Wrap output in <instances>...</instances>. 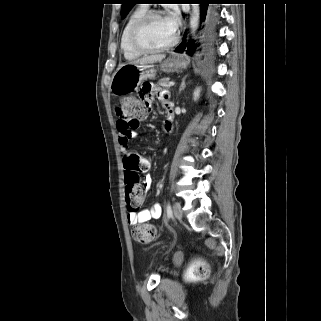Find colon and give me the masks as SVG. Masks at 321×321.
I'll return each mask as SVG.
<instances>
[{
	"label": "colon",
	"mask_w": 321,
	"mask_h": 321,
	"mask_svg": "<svg viewBox=\"0 0 321 321\" xmlns=\"http://www.w3.org/2000/svg\"><path fill=\"white\" fill-rule=\"evenodd\" d=\"M150 112V106L143 98L124 97L120 100L116 113L122 121L138 126ZM125 194L127 208L131 212H136L142 204L143 184L141 173L149 169V163L138 154H133L125 165ZM133 237L140 243H149L156 238V228L151 224L136 226L132 231ZM197 277H206L208 268L205 263H198L193 269Z\"/></svg>",
	"instance_id": "1"
}]
</instances>
